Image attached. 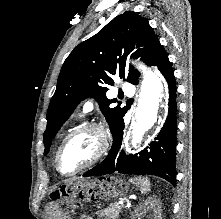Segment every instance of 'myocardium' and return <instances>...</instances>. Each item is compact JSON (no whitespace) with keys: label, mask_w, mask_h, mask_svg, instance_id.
<instances>
[{"label":"myocardium","mask_w":221,"mask_h":219,"mask_svg":"<svg viewBox=\"0 0 221 219\" xmlns=\"http://www.w3.org/2000/svg\"><path fill=\"white\" fill-rule=\"evenodd\" d=\"M87 131H94L97 133L99 137V146L96 154L94 157L83 167L79 168L78 170L72 172V173H64L60 170L59 167V158L60 154L63 150V148L68 144V142L78 134H81L83 132ZM111 145V133L109 129L101 122H87L74 130H72L61 142L59 145L54 159V164L57 172L65 177H72L75 175H78L82 173L83 171H86L90 169L91 167L95 166L108 152Z\"/></svg>","instance_id":"f54148a6"}]
</instances>
